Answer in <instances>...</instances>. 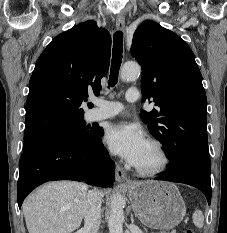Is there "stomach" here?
<instances>
[{
  "instance_id": "1",
  "label": "stomach",
  "mask_w": 227,
  "mask_h": 233,
  "mask_svg": "<svg viewBox=\"0 0 227 233\" xmlns=\"http://www.w3.org/2000/svg\"><path fill=\"white\" fill-rule=\"evenodd\" d=\"M127 193L135 215L149 228H172L185 217V202L172 183L136 182L127 188Z\"/></svg>"
}]
</instances>
